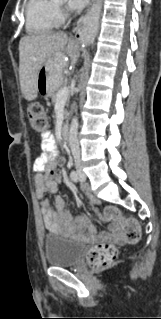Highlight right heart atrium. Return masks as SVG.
I'll use <instances>...</instances> for the list:
<instances>
[{
	"mask_svg": "<svg viewBox=\"0 0 161 319\" xmlns=\"http://www.w3.org/2000/svg\"><path fill=\"white\" fill-rule=\"evenodd\" d=\"M60 12H61V15H63V14H64V11H63V10H61Z\"/></svg>",
	"mask_w": 161,
	"mask_h": 319,
	"instance_id": "1",
	"label": "right heart atrium"
}]
</instances>
